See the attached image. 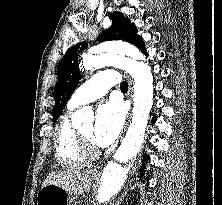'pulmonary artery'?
Returning <instances> with one entry per match:
<instances>
[{"instance_id": "pulmonary-artery-1", "label": "pulmonary artery", "mask_w": 222, "mask_h": 205, "mask_svg": "<svg viewBox=\"0 0 222 205\" xmlns=\"http://www.w3.org/2000/svg\"><path fill=\"white\" fill-rule=\"evenodd\" d=\"M119 77L115 70L104 69L82 84L72 95L68 102L71 109L78 108L92 102L107 93V91L118 85Z\"/></svg>"}]
</instances>
